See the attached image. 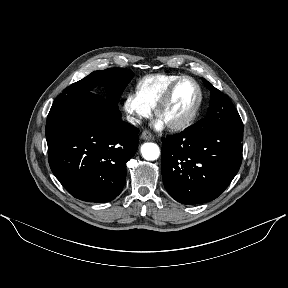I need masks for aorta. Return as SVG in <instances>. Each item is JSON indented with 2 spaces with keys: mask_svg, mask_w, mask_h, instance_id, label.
Masks as SVG:
<instances>
[{
  "mask_svg": "<svg viewBox=\"0 0 288 288\" xmlns=\"http://www.w3.org/2000/svg\"><path fill=\"white\" fill-rule=\"evenodd\" d=\"M141 154L145 160L154 161L160 155V149L155 143H144L141 146Z\"/></svg>",
  "mask_w": 288,
  "mask_h": 288,
  "instance_id": "aorta-1",
  "label": "aorta"
}]
</instances>
